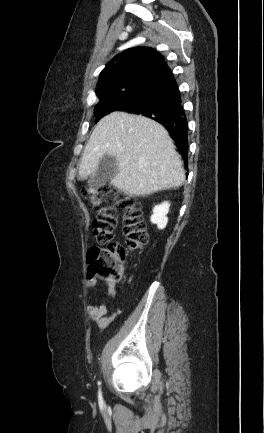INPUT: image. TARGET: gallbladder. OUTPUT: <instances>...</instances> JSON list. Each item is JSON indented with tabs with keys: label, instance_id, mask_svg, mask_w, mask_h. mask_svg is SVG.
<instances>
[{
	"label": "gallbladder",
	"instance_id": "bac80fb5",
	"mask_svg": "<svg viewBox=\"0 0 264 433\" xmlns=\"http://www.w3.org/2000/svg\"><path fill=\"white\" fill-rule=\"evenodd\" d=\"M118 172V163L114 156L105 155L99 162V167L88 180L91 187H100L111 180Z\"/></svg>",
	"mask_w": 264,
	"mask_h": 433
}]
</instances>
